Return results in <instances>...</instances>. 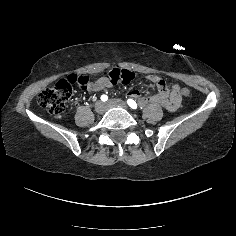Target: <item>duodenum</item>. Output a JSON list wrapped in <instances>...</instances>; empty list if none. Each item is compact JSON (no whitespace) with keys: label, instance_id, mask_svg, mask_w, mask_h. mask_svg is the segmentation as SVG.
Wrapping results in <instances>:
<instances>
[{"label":"duodenum","instance_id":"1","mask_svg":"<svg viewBox=\"0 0 236 236\" xmlns=\"http://www.w3.org/2000/svg\"><path fill=\"white\" fill-rule=\"evenodd\" d=\"M139 103L141 106H147L151 103H158L169 110H174L178 107L177 96L174 94L169 95L165 88H161V92L158 95L148 98H141Z\"/></svg>","mask_w":236,"mask_h":236}]
</instances>
